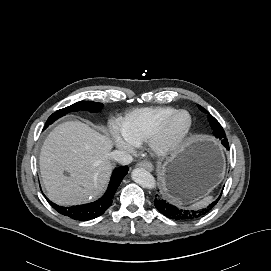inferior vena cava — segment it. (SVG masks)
Instances as JSON below:
<instances>
[{"mask_svg": "<svg viewBox=\"0 0 271 271\" xmlns=\"http://www.w3.org/2000/svg\"><path fill=\"white\" fill-rule=\"evenodd\" d=\"M110 157L114 161L122 165H128L133 160L132 156L128 152L123 151V150H114L113 152L110 153Z\"/></svg>", "mask_w": 271, "mask_h": 271, "instance_id": "inferior-vena-cava-1", "label": "inferior vena cava"}]
</instances>
